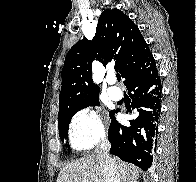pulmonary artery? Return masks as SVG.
<instances>
[{"label": "pulmonary artery", "mask_w": 196, "mask_h": 182, "mask_svg": "<svg viewBox=\"0 0 196 182\" xmlns=\"http://www.w3.org/2000/svg\"><path fill=\"white\" fill-rule=\"evenodd\" d=\"M109 87L107 89L108 95L113 99V100H120L122 98V90L115 86V80L110 79L109 80Z\"/></svg>", "instance_id": "e3ab8cb5"}]
</instances>
